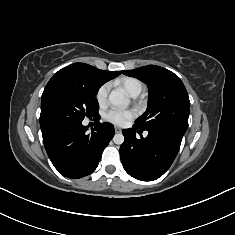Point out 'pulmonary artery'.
<instances>
[{
	"mask_svg": "<svg viewBox=\"0 0 235 235\" xmlns=\"http://www.w3.org/2000/svg\"><path fill=\"white\" fill-rule=\"evenodd\" d=\"M137 95H133L132 97H136ZM145 135H147V133H145Z\"/></svg>",
	"mask_w": 235,
	"mask_h": 235,
	"instance_id": "1",
	"label": "pulmonary artery"
}]
</instances>
